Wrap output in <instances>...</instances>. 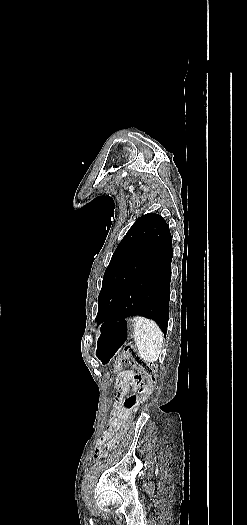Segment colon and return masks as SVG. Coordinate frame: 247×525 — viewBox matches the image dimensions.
Segmentation results:
<instances>
[{"mask_svg": "<svg viewBox=\"0 0 247 525\" xmlns=\"http://www.w3.org/2000/svg\"><path fill=\"white\" fill-rule=\"evenodd\" d=\"M125 366L136 368L139 373L129 383L136 388L135 393L124 397V408L130 413H136L141 404L148 398L150 388L156 383V365L144 360L133 344L126 345L117 357L113 373L118 375Z\"/></svg>", "mask_w": 247, "mask_h": 525, "instance_id": "1", "label": "colon"}]
</instances>
